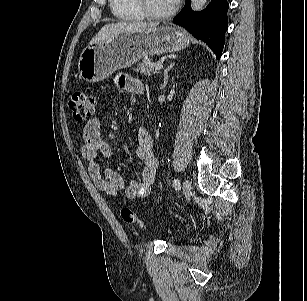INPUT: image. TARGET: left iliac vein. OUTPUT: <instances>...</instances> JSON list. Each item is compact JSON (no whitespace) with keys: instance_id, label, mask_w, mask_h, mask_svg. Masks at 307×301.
Listing matches in <instances>:
<instances>
[{"instance_id":"left-iliac-vein-1","label":"left iliac vein","mask_w":307,"mask_h":301,"mask_svg":"<svg viewBox=\"0 0 307 301\" xmlns=\"http://www.w3.org/2000/svg\"><path fill=\"white\" fill-rule=\"evenodd\" d=\"M182 191L184 197L189 200L192 195V184L190 180L187 179L183 182Z\"/></svg>"}]
</instances>
